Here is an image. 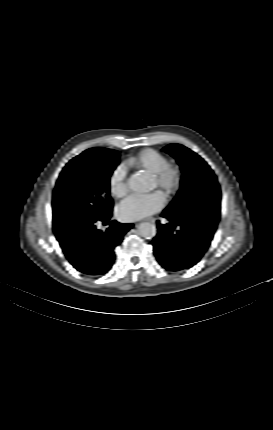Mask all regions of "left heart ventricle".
<instances>
[{
	"instance_id": "b2bd125f",
	"label": "left heart ventricle",
	"mask_w": 273,
	"mask_h": 430,
	"mask_svg": "<svg viewBox=\"0 0 273 430\" xmlns=\"http://www.w3.org/2000/svg\"><path fill=\"white\" fill-rule=\"evenodd\" d=\"M153 185H154V186H156V183H155V181H154V180H153Z\"/></svg>"
}]
</instances>
